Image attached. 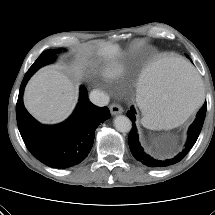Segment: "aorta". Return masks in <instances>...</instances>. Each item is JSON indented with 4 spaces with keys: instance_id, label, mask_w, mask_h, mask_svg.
<instances>
[{
    "instance_id": "762f6f07",
    "label": "aorta",
    "mask_w": 215,
    "mask_h": 215,
    "mask_svg": "<svg viewBox=\"0 0 215 215\" xmlns=\"http://www.w3.org/2000/svg\"><path fill=\"white\" fill-rule=\"evenodd\" d=\"M114 126L119 132L127 133L131 130L132 124L128 117L124 115H118L114 119Z\"/></svg>"
}]
</instances>
